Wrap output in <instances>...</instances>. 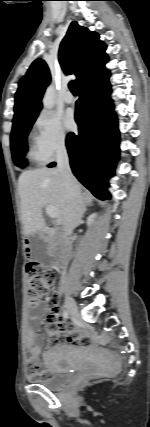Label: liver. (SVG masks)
Wrapping results in <instances>:
<instances>
[{
  "mask_svg": "<svg viewBox=\"0 0 150 427\" xmlns=\"http://www.w3.org/2000/svg\"><path fill=\"white\" fill-rule=\"evenodd\" d=\"M79 190L81 185L78 183ZM21 213L26 236L42 231L45 221L42 209L52 205L57 208V225L64 222L66 190L58 169L40 168L22 172L18 180Z\"/></svg>",
  "mask_w": 150,
  "mask_h": 427,
  "instance_id": "6515ba94",
  "label": "liver"
}]
</instances>
